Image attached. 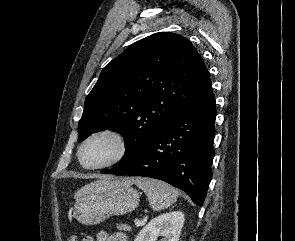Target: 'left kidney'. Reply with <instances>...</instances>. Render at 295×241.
Listing matches in <instances>:
<instances>
[{
    "mask_svg": "<svg viewBox=\"0 0 295 241\" xmlns=\"http://www.w3.org/2000/svg\"><path fill=\"white\" fill-rule=\"evenodd\" d=\"M184 220L180 211L157 216L142 228L134 241H156L159 235L164 237L162 241H178Z\"/></svg>",
    "mask_w": 295,
    "mask_h": 241,
    "instance_id": "obj_1",
    "label": "left kidney"
}]
</instances>
